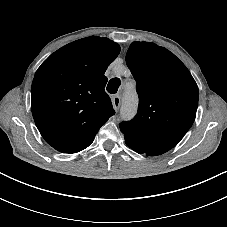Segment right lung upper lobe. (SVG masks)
I'll list each match as a JSON object with an SVG mask.
<instances>
[{
  "label": "right lung upper lobe",
  "mask_w": 227,
  "mask_h": 227,
  "mask_svg": "<svg viewBox=\"0 0 227 227\" xmlns=\"http://www.w3.org/2000/svg\"><path fill=\"white\" fill-rule=\"evenodd\" d=\"M120 46L91 36L50 55L38 68L31 89V110L43 138L56 150L87 148L100 127L115 114L104 88V73Z\"/></svg>",
  "instance_id": "cb5924a9"
}]
</instances>
